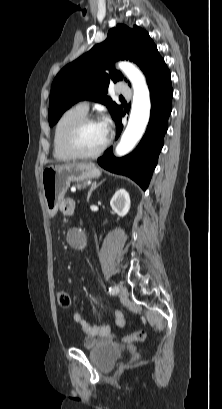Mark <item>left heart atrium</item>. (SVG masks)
Masks as SVG:
<instances>
[{
    "mask_svg": "<svg viewBox=\"0 0 222 409\" xmlns=\"http://www.w3.org/2000/svg\"><path fill=\"white\" fill-rule=\"evenodd\" d=\"M100 123L104 129L106 136H108L111 126L110 120L108 118H104Z\"/></svg>",
    "mask_w": 222,
    "mask_h": 409,
    "instance_id": "39dd6f15",
    "label": "left heart atrium"
}]
</instances>
